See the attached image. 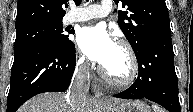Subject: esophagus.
I'll return each instance as SVG.
<instances>
[{
	"mask_svg": "<svg viewBox=\"0 0 193 112\" xmlns=\"http://www.w3.org/2000/svg\"><path fill=\"white\" fill-rule=\"evenodd\" d=\"M95 99L98 101L104 100V95L102 94V92L95 90Z\"/></svg>",
	"mask_w": 193,
	"mask_h": 112,
	"instance_id": "esophagus-1",
	"label": "esophagus"
}]
</instances>
